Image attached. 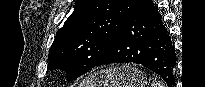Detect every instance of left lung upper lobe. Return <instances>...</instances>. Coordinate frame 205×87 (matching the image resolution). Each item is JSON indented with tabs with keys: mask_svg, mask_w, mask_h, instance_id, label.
Masks as SVG:
<instances>
[{
	"mask_svg": "<svg viewBox=\"0 0 205 87\" xmlns=\"http://www.w3.org/2000/svg\"><path fill=\"white\" fill-rule=\"evenodd\" d=\"M135 2L77 0L49 50L48 69L64 70L72 81L96 67Z\"/></svg>",
	"mask_w": 205,
	"mask_h": 87,
	"instance_id": "1",
	"label": "left lung upper lobe"
}]
</instances>
